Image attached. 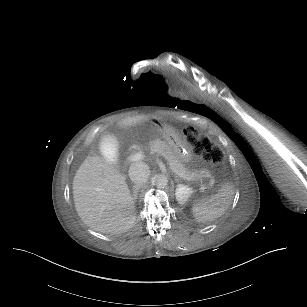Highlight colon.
Masks as SVG:
<instances>
[{"instance_id":"1","label":"colon","mask_w":307,"mask_h":307,"mask_svg":"<svg viewBox=\"0 0 307 307\" xmlns=\"http://www.w3.org/2000/svg\"><path fill=\"white\" fill-rule=\"evenodd\" d=\"M185 140L194 146L197 150L202 152L203 159L207 165L212 167H219L224 163L222 152L214 147L208 139L199 138V134L193 128H187L184 134Z\"/></svg>"}]
</instances>
